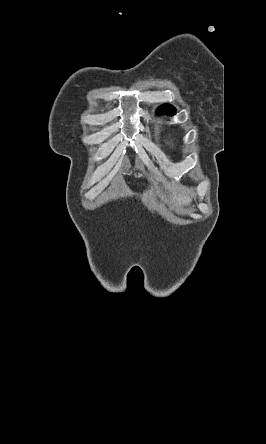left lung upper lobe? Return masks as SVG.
<instances>
[{
	"label": "left lung upper lobe",
	"mask_w": 266,
	"mask_h": 444,
	"mask_svg": "<svg viewBox=\"0 0 266 444\" xmlns=\"http://www.w3.org/2000/svg\"><path fill=\"white\" fill-rule=\"evenodd\" d=\"M175 112H176V109L172 105L164 104L157 109L156 113H157V115H165L166 114V115L172 116L175 114Z\"/></svg>",
	"instance_id": "1"
}]
</instances>
